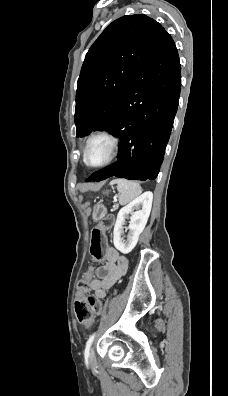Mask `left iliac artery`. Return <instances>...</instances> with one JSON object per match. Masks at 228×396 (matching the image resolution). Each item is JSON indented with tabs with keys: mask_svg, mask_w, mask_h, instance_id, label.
Here are the masks:
<instances>
[{
	"mask_svg": "<svg viewBox=\"0 0 228 396\" xmlns=\"http://www.w3.org/2000/svg\"><path fill=\"white\" fill-rule=\"evenodd\" d=\"M94 337H95V333H93V334L89 337V339L87 340V342H86V348H85V352H84V355H85L86 358L89 356V350H90V347H91V345H92V343H93Z\"/></svg>",
	"mask_w": 228,
	"mask_h": 396,
	"instance_id": "obj_1",
	"label": "left iliac artery"
}]
</instances>
